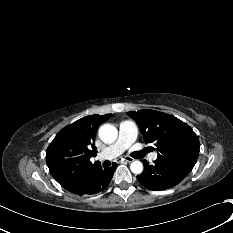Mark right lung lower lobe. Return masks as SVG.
<instances>
[{
	"label": "right lung lower lobe",
	"instance_id": "right-lung-lower-lobe-1",
	"mask_svg": "<svg viewBox=\"0 0 233 233\" xmlns=\"http://www.w3.org/2000/svg\"><path fill=\"white\" fill-rule=\"evenodd\" d=\"M117 164L114 163L112 167L100 168L94 175L88 180L83 190L78 195H92L99 193L107 188L110 183Z\"/></svg>",
	"mask_w": 233,
	"mask_h": 233
}]
</instances>
